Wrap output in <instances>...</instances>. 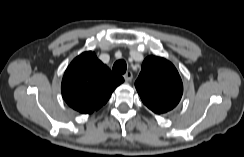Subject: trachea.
<instances>
[{"instance_id": "trachea-1", "label": "trachea", "mask_w": 244, "mask_h": 157, "mask_svg": "<svg viewBox=\"0 0 244 157\" xmlns=\"http://www.w3.org/2000/svg\"><path fill=\"white\" fill-rule=\"evenodd\" d=\"M127 69V64L124 60H119L114 63L113 71L117 74H124Z\"/></svg>"}]
</instances>
